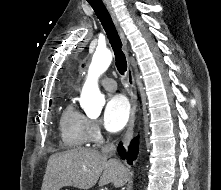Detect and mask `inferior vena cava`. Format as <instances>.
Instances as JSON below:
<instances>
[{"label":"inferior vena cava","instance_id":"obj_1","mask_svg":"<svg viewBox=\"0 0 221 190\" xmlns=\"http://www.w3.org/2000/svg\"><path fill=\"white\" fill-rule=\"evenodd\" d=\"M102 154L107 157H112L116 153V147L113 143L107 142L101 149Z\"/></svg>","mask_w":221,"mask_h":190}]
</instances>
